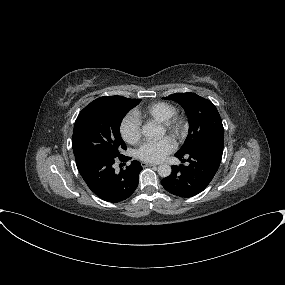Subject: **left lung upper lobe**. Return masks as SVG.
Returning <instances> with one entry per match:
<instances>
[{
    "mask_svg": "<svg viewBox=\"0 0 285 285\" xmlns=\"http://www.w3.org/2000/svg\"><path fill=\"white\" fill-rule=\"evenodd\" d=\"M165 99L181 104L189 121V134L177 154H185L207 140L224 136L221 117L211 101L195 93H175Z\"/></svg>",
    "mask_w": 285,
    "mask_h": 285,
    "instance_id": "5c2ea615",
    "label": "left lung upper lobe"
}]
</instances>
